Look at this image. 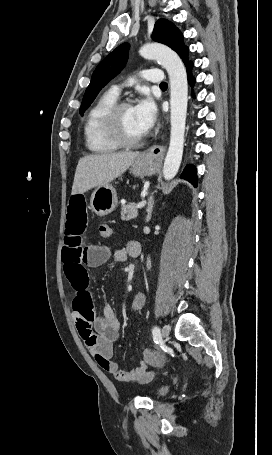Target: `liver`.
<instances>
[{
	"label": "liver",
	"mask_w": 272,
	"mask_h": 455,
	"mask_svg": "<svg viewBox=\"0 0 272 455\" xmlns=\"http://www.w3.org/2000/svg\"><path fill=\"white\" fill-rule=\"evenodd\" d=\"M139 155V152L130 151L81 158L76 167L72 195L108 185L123 174Z\"/></svg>",
	"instance_id": "1"
}]
</instances>
